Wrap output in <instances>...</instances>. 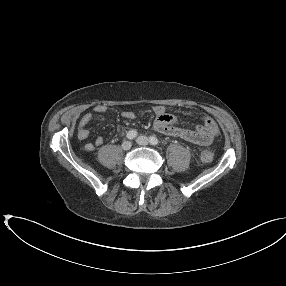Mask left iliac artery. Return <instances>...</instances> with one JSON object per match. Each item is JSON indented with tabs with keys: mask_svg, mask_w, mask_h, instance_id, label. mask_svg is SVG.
<instances>
[{
	"mask_svg": "<svg viewBox=\"0 0 286 286\" xmlns=\"http://www.w3.org/2000/svg\"><path fill=\"white\" fill-rule=\"evenodd\" d=\"M149 141H150V143H151L152 145H159V140H158L157 137H155V136H151V137L149 138Z\"/></svg>",
	"mask_w": 286,
	"mask_h": 286,
	"instance_id": "left-iliac-artery-1",
	"label": "left iliac artery"
}]
</instances>
